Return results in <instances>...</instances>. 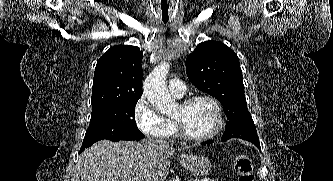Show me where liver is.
Here are the masks:
<instances>
[{
  "label": "liver",
  "instance_id": "1",
  "mask_svg": "<svg viewBox=\"0 0 333 181\" xmlns=\"http://www.w3.org/2000/svg\"><path fill=\"white\" fill-rule=\"evenodd\" d=\"M175 149L151 148L146 143L101 140L78 161L81 181H163Z\"/></svg>",
  "mask_w": 333,
  "mask_h": 181
}]
</instances>
